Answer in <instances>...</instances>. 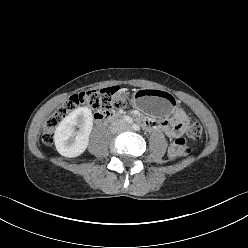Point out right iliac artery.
<instances>
[{
    "instance_id": "right-iliac-artery-1",
    "label": "right iliac artery",
    "mask_w": 248,
    "mask_h": 248,
    "mask_svg": "<svg viewBox=\"0 0 248 248\" xmlns=\"http://www.w3.org/2000/svg\"><path fill=\"white\" fill-rule=\"evenodd\" d=\"M123 119L128 122V123H132V119L129 116H124Z\"/></svg>"
}]
</instances>
